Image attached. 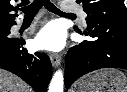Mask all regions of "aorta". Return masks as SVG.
Instances as JSON below:
<instances>
[{
    "label": "aorta",
    "instance_id": "762f6f07",
    "mask_svg": "<svg viewBox=\"0 0 127 92\" xmlns=\"http://www.w3.org/2000/svg\"><path fill=\"white\" fill-rule=\"evenodd\" d=\"M64 78L61 70H58L52 77L48 92H63Z\"/></svg>",
    "mask_w": 127,
    "mask_h": 92
}]
</instances>
